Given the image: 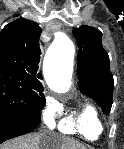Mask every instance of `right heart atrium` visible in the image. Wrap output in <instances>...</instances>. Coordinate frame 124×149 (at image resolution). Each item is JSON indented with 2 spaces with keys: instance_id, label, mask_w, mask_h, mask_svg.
<instances>
[{
  "instance_id": "obj_1",
  "label": "right heart atrium",
  "mask_w": 124,
  "mask_h": 149,
  "mask_svg": "<svg viewBox=\"0 0 124 149\" xmlns=\"http://www.w3.org/2000/svg\"><path fill=\"white\" fill-rule=\"evenodd\" d=\"M57 106L48 100L42 111V120L47 127L53 128L56 124Z\"/></svg>"
}]
</instances>
